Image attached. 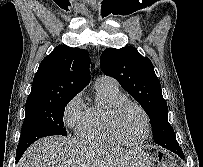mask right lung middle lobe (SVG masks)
Segmentation results:
<instances>
[{"label": "right lung middle lobe", "mask_w": 203, "mask_h": 167, "mask_svg": "<svg viewBox=\"0 0 203 167\" xmlns=\"http://www.w3.org/2000/svg\"><path fill=\"white\" fill-rule=\"evenodd\" d=\"M74 98L63 97L51 101L25 105V119L21 130L19 145H31L39 138L51 135L66 136L63 124L65 106Z\"/></svg>", "instance_id": "1"}]
</instances>
